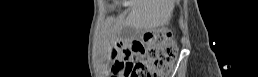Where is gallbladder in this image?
<instances>
[{
  "instance_id": "1",
  "label": "gallbladder",
  "mask_w": 258,
  "mask_h": 77,
  "mask_svg": "<svg viewBox=\"0 0 258 77\" xmlns=\"http://www.w3.org/2000/svg\"><path fill=\"white\" fill-rule=\"evenodd\" d=\"M134 35V29L131 26L124 27L121 32V36L124 39L132 38Z\"/></svg>"
}]
</instances>
